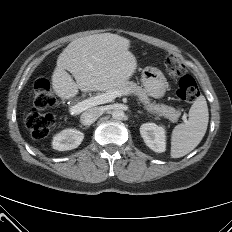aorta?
I'll return each mask as SVG.
<instances>
[{
  "mask_svg": "<svg viewBox=\"0 0 232 232\" xmlns=\"http://www.w3.org/2000/svg\"><path fill=\"white\" fill-rule=\"evenodd\" d=\"M112 117L116 120H122L125 117V113L121 109H115L112 111Z\"/></svg>",
  "mask_w": 232,
  "mask_h": 232,
  "instance_id": "1",
  "label": "aorta"
}]
</instances>
